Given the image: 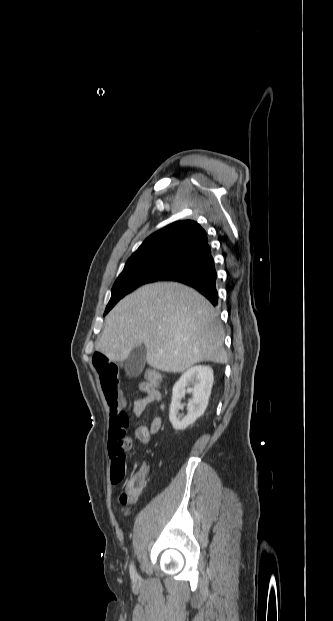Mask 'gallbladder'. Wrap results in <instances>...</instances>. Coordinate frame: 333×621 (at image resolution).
<instances>
[{"instance_id": "bac80fb5", "label": "gallbladder", "mask_w": 333, "mask_h": 621, "mask_svg": "<svg viewBox=\"0 0 333 621\" xmlns=\"http://www.w3.org/2000/svg\"><path fill=\"white\" fill-rule=\"evenodd\" d=\"M146 362V349L144 345L135 347L126 359V371L129 376H137L144 368Z\"/></svg>"}]
</instances>
